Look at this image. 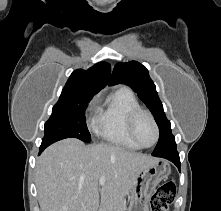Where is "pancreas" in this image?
<instances>
[{
	"label": "pancreas",
	"instance_id": "pancreas-1",
	"mask_svg": "<svg viewBox=\"0 0 221 211\" xmlns=\"http://www.w3.org/2000/svg\"><path fill=\"white\" fill-rule=\"evenodd\" d=\"M125 199L123 197H115L102 203L99 211H125Z\"/></svg>",
	"mask_w": 221,
	"mask_h": 211
}]
</instances>
